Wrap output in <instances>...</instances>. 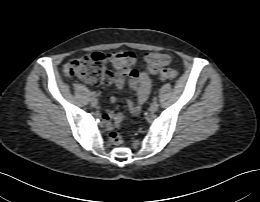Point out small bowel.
<instances>
[{"label": "small bowel", "instance_id": "obj_1", "mask_svg": "<svg viewBox=\"0 0 260 202\" xmlns=\"http://www.w3.org/2000/svg\"><path fill=\"white\" fill-rule=\"evenodd\" d=\"M129 84L133 90V99L128 101L129 112L131 115H136L140 112L142 105L146 102L152 87L150 75L146 72H137L136 70H130L129 72ZM114 84L121 90L124 86V79L120 75H116L114 78ZM111 102H116V97H110ZM102 122L108 130H112L115 127H120L124 121V116L121 113L105 112L100 115Z\"/></svg>", "mask_w": 260, "mask_h": 202}]
</instances>
